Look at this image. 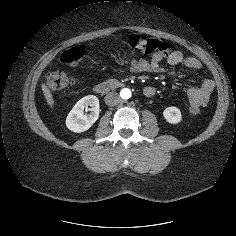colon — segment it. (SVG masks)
<instances>
[{
    "instance_id": "colon-1",
    "label": "colon",
    "mask_w": 236,
    "mask_h": 236,
    "mask_svg": "<svg viewBox=\"0 0 236 236\" xmlns=\"http://www.w3.org/2000/svg\"><path fill=\"white\" fill-rule=\"evenodd\" d=\"M129 46L137 51L146 55L161 56L167 53V46L160 41L155 39H149L133 35L129 38ZM85 55V49L80 46H74L64 50L60 56V62L66 65H77ZM45 82L47 87L53 90L64 89L69 86H74L78 81L67 74L63 69H55L50 71ZM200 109L196 106L190 107V112L193 114L199 113Z\"/></svg>"
}]
</instances>
